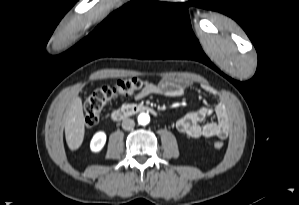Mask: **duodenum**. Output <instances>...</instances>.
<instances>
[{"instance_id":"duodenum-1","label":"duodenum","mask_w":299,"mask_h":205,"mask_svg":"<svg viewBox=\"0 0 299 205\" xmlns=\"http://www.w3.org/2000/svg\"><path fill=\"white\" fill-rule=\"evenodd\" d=\"M137 113H155V110L144 104H126L112 111L111 118L115 121H121Z\"/></svg>"}]
</instances>
